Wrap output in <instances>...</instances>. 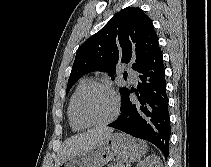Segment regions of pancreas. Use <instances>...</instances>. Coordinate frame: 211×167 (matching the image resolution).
Returning a JSON list of instances; mask_svg holds the SVG:
<instances>
[{
  "mask_svg": "<svg viewBox=\"0 0 211 167\" xmlns=\"http://www.w3.org/2000/svg\"><path fill=\"white\" fill-rule=\"evenodd\" d=\"M108 167H125V166L122 164H111Z\"/></svg>",
  "mask_w": 211,
  "mask_h": 167,
  "instance_id": "pancreas-1",
  "label": "pancreas"
}]
</instances>
